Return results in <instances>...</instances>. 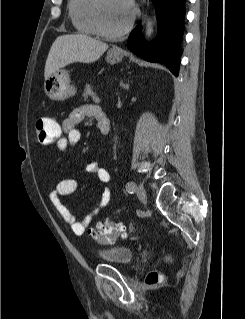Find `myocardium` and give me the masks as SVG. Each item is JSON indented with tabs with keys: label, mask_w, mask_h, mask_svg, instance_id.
Returning <instances> with one entry per match:
<instances>
[{
	"label": "myocardium",
	"mask_w": 245,
	"mask_h": 319,
	"mask_svg": "<svg viewBox=\"0 0 245 319\" xmlns=\"http://www.w3.org/2000/svg\"><path fill=\"white\" fill-rule=\"evenodd\" d=\"M103 1L104 0H95L94 7H93V18H94V23L97 29V32L99 35L108 37V38H119L127 34L135 21L136 18V11H131L130 18L127 22V24L119 29V30H109L105 27L103 18H102V10H103Z\"/></svg>",
	"instance_id": "myocardium-1"
}]
</instances>
